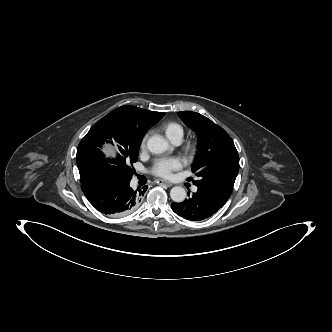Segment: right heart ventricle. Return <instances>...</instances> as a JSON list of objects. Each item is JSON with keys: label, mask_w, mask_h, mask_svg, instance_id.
Masks as SVG:
<instances>
[{"label": "right heart ventricle", "mask_w": 332, "mask_h": 332, "mask_svg": "<svg viewBox=\"0 0 332 332\" xmlns=\"http://www.w3.org/2000/svg\"><path fill=\"white\" fill-rule=\"evenodd\" d=\"M163 132L166 137L173 143L175 141H180L184 137V128L177 122H169L163 127Z\"/></svg>", "instance_id": "1"}]
</instances>
